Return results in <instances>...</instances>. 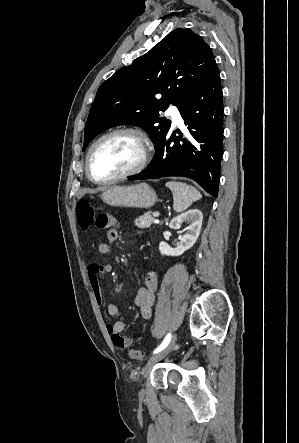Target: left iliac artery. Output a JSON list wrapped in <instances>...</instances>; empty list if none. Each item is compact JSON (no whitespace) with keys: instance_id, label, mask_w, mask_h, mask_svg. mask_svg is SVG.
<instances>
[{"instance_id":"left-iliac-artery-1","label":"left iliac artery","mask_w":299,"mask_h":443,"mask_svg":"<svg viewBox=\"0 0 299 443\" xmlns=\"http://www.w3.org/2000/svg\"><path fill=\"white\" fill-rule=\"evenodd\" d=\"M171 340V333H168L165 337V339L162 341V343L155 349V351L153 352L158 353L159 351H161L162 349H164L170 342Z\"/></svg>"}]
</instances>
